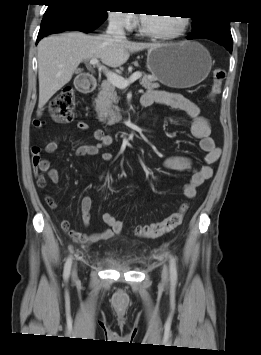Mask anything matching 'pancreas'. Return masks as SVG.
Wrapping results in <instances>:
<instances>
[{
  "label": "pancreas",
  "mask_w": 261,
  "mask_h": 355,
  "mask_svg": "<svg viewBox=\"0 0 261 355\" xmlns=\"http://www.w3.org/2000/svg\"><path fill=\"white\" fill-rule=\"evenodd\" d=\"M140 84L150 90L159 87V84L155 82V78L147 74H143ZM118 100L119 98L115 86L108 80L103 81L101 90L95 99V110L100 122L107 125H114L121 121L120 109L116 105Z\"/></svg>",
  "instance_id": "1"
}]
</instances>
